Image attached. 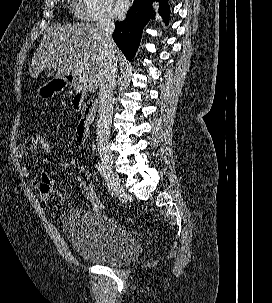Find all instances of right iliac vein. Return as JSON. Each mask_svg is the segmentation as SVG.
<instances>
[{
    "instance_id": "right-iliac-vein-1",
    "label": "right iliac vein",
    "mask_w": 272,
    "mask_h": 303,
    "mask_svg": "<svg viewBox=\"0 0 272 303\" xmlns=\"http://www.w3.org/2000/svg\"><path fill=\"white\" fill-rule=\"evenodd\" d=\"M101 160H102L103 166L107 170V173L110 177V180L113 184V187H114V190H115L116 194L118 196H121L122 193H123V187H122V184H121V179L113 169V162H112L111 158L108 157V156H102Z\"/></svg>"
}]
</instances>
